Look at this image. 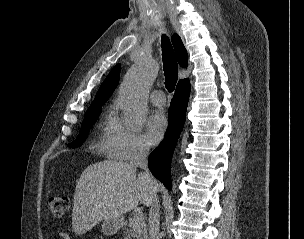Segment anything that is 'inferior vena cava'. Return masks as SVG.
<instances>
[{
	"label": "inferior vena cava",
	"instance_id": "1",
	"mask_svg": "<svg viewBox=\"0 0 304 239\" xmlns=\"http://www.w3.org/2000/svg\"><path fill=\"white\" fill-rule=\"evenodd\" d=\"M149 148L144 144H139L130 160V165L134 168L140 167L143 169L141 176L145 179V182L149 185V187L153 190L151 199H150V210H149V234L150 239H160L159 235V201L157 198V194L155 192L156 180L153 178L147 166V155Z\"/></svg>",
	"mask_w": 304,
	"mask_h": 239
}]
</instances>
